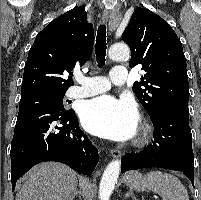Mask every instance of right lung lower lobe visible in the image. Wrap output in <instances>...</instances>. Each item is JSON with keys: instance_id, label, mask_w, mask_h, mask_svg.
Instances as JSON below:
<instances>
[{"instance_id": "right-lung-lower-lobe-1", "label": "right lung lower lobe", "mask_w": 201, "mask_h": 200, "mask_svg": "<svg viewBox=\"0 0 201 200\" xmlns=\"http://www.w3.org/2000/svg\"><path fill=\"white\" fill-rule=\"evenodd\" d=\"M12 191L17 180L35 164L57 161L90 175L99 154L80 130L73 110L35 106L20 110L11 142Z\"/></svg>"}]
</instances>
